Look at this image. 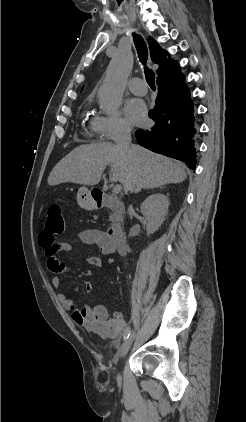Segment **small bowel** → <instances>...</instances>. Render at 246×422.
<instances>
[{
    "label": "small bowel",
    "mask_w": 246,
    "mask_h": 422,
    "mask_svg": "<svg viewBox=\"0 0 246 422\" xmlns=\"http://www.w3.org/2000/svg\"><path fill=\"white\" fill-rule=\"evenodd\" d=\"M78 238L85 244L97 245L104 254H113L115 247L105 231L94 228H83L78 233ZM39 245L44 250L48 269L53 273L52 285L59 289L61 285L60 274L65 270L64 263L59 259L60 252L72 250V246L67 242H58L55 234L46 228L39 234ZM86 263L101 267L103 261L98 256L88 257ZM94 284L86 283V290L92 291ZM58 299L71 314L74 322L88 331L95 332L104 337H117L126 326L125 317L115 312L113 317L109 316L107 308L103 305H87L79 309L75 303L65 293L59 291Z\"/></svg>",
    "instance_id": "obj_1"
}]
</instances>
